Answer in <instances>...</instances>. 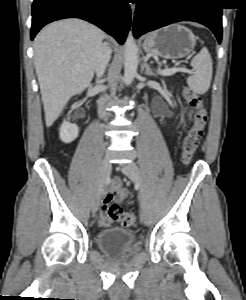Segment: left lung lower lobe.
I'll list each match as a JSON object with an SVG mask.
<instances>
[{"label": "left lung lower lobe", "mask_w": 246, "mask_h": 300, "mask_svg": "<svg viewBox=\"0 0 246 300\" xmlns=\"http://www.w3.org/2000/svg\"><path fill=\"white\" fill-rule=\"evenodd\" d=\"M134 36L179 21H195L222 39V7L218 0H137Z\"/></svg>", "instance_id": "left-lung-lower-lobe-1"}]
</instances>
